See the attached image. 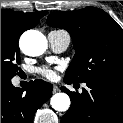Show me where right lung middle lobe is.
Returning a JSON list of instances; mask_svg holds the SVG:
<instances>
[{
    "label": "right lung middle lobe",
    "mask_w": 123,
    "mask_h": 123,
    "mask_svg": "<svg viewBox=\"0 0 123 123\" xmlns=\"http://www.w3.org/2000/svg\"><path fill=\"white\" fill-rule=\"evenodd\" d=\"M21 33L11 20L1 19V82L11 81L20 68L18 41Z\"/></svg>",
    "instance_id": "right-lung-middle-lobe-1"
}]
</instances>
